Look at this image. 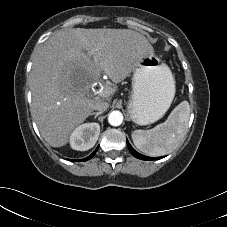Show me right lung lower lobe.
Wrapping results in <instances>:
<instances>
[{"mask_svg":"<svg viewBox=\"0 0 227 227\" xmlns=\"http://www.w3.org/2000/svg\"><path fill=\"white\" fill-rule=\"evenodd\" d=\"M96 151H97V149L90 156H88L87 158H84V159L78 160V161H86V160L91 159L94 156V154L96 153Z\"/></svg>","mask_w":227,"mask_h":227,"instance_id":"right-lung-lower-lobe-1","label":"right lung lower lobe"}]
</instances>
